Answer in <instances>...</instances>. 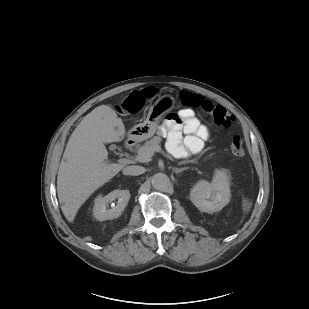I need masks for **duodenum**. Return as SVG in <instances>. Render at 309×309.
I'll return each mask as SVG.
<instances>
[{"instance_id":"obj_1","label":"duodenum","mask_w":309,"mask_h":309,"mask_svg":"<svg viewBox=\"0 0 309 309\" xmlns=\"http://www.w3.org/2000/svg\"><path fill=\"white\" fill-rule=\"evenodd\" d=\"M133 145H134V141L132 140V139H128L127 141H126V146L128 147V148H131V147H133Z\"/></svg>"}]
</instances>
